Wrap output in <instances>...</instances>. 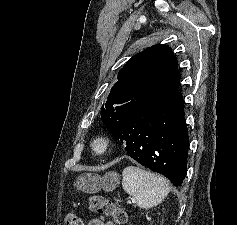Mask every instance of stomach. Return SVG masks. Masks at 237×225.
<instances>
[{
    "instance_id": "1",
    "label": "stomach",
    "mask_w": 237,
    "mask_h": 225,
    "mask_svg": "<svg viewBox=\"0 0 237 225\" xmlns=\"http://www.w3.org/2000/svg\"><path fill=\"white\" fill-rule=\"evenodd\" d=\"M119 183V174L111 171L107 172L104 176H99L94 173L81 174L74 185L78 190L94 194L101 190L112 192L118 187Z\"/></svg>"
}]
</instances>
